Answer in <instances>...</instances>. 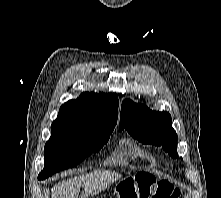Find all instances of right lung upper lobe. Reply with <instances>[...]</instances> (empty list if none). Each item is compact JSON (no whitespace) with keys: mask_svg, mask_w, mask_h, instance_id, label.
I'll return each mask as SVG.
<instances>
[{"mask_svg":"<svg viewBox=\"0 0 221 198\" xmlns=\"http://www.w3.org/2000/svg\"><path fill=\"white\" fill-rule=\"evenodd\" d=\"M116 94L82 93L78 99L63 104L51 125L52 134L81 135L96 130L114 129L117 123Z\"/></svg>","mask_w":221,"mask_h":198,"instance_id":"right-lung-upper-lobe-1","label":"right lung upper lobe"}]
</instances>
